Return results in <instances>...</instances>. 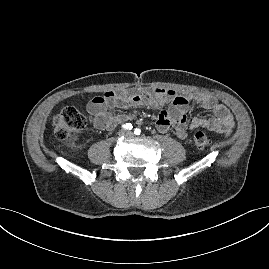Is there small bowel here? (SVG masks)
Here are the masks:
<instances>
[{"label":"small bowel","instance_id":"obj_1","mask_svg":"<svg viewBox=\"0 0 269 269\" xmlns=\"http://www.w3.org/2000/svg\"><path fill=\"white\" fill-rule=\"evenodd\" d=\"M211 112V117H187L189 104ZM169 107L160 112L156 120V128L161 133L173 129L176 136L185 140L188 130L205 128L209 131L229 135L234 128V119L230 111L211 95L193 93L180 95L169 89H128L120 91H106L103 95L94 97L87 105L88 113L94 118V125L99 130H111L118 124L130 119L125 114H113L112 108H134L150 106Z\"/></svg>","mask_w":269,"mask_h":269}]
</instances>
